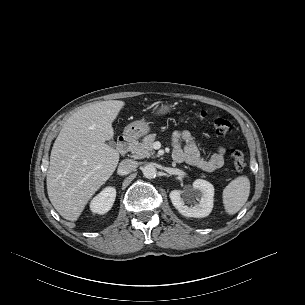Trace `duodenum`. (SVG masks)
Instances as JSON below:
<instances>
[{
  "instance_id": "410a0bca",
  "label": "duodenum",
  "mask_w": 305,
  "mask_h": 305,
  "mask_svg": "<svg viewBox=\"0 0 305 305\" xmlns=\"http://www.w3.org/2000/svg\"><path fill=\"white\" fill-rule=\"evenodd\" d=\"M133 144V138L130 136H123L118 140L117 150L119 153H127Z\"/></svg>"
}]
</instances>
